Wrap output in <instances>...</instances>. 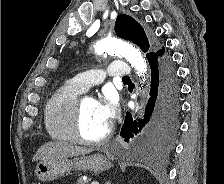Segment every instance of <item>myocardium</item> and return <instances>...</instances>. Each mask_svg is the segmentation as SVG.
I'll return each instance as SVG.
<instances>
[{"label":"myocardium","instance_id":"obj_1","mask_svg":"<svg viewBox=\"0 0 224 184\" xmlns=\"http://www.w3.org/2000/svg\"><path fill=\"white\" fill-rule=\"evenodd\" d=\"M83 99L84 98L77 100V103L73 112V116H72V133H73L74 141L81 144H85V145H92V146L102 145L111 138L113 134V126L110 125L107 132L100 138L89 139L84 137L81 130Z\"/></svg>","mask_w":224,"mask_h":184}]
</instances>
